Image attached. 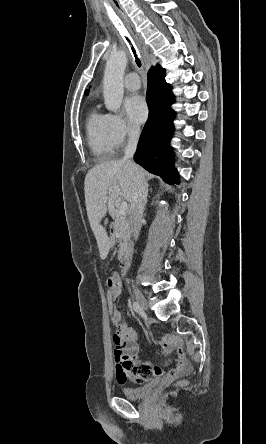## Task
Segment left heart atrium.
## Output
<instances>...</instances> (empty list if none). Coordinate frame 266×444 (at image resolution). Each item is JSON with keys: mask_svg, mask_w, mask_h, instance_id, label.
<instances>
[{"mask_svg": "<svg viewBox=\"0 0 266 444\" xmlns=\"http://www.w3.org/2000/svg\"><path fill=\"white\" fill-rule=\"evenodd\" d=\"M125 110L129 119L135 124L143 123L148 116L147 103L142 96L137 94L126 99Z\"/></svg>", "mask_w": 266, "mask_h": 444, "instance_id": "1", "label": "left heart atrium"}]
</instances>
